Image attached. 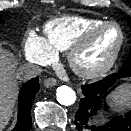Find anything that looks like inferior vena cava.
Wrapping results in <instances>:
<instances>
[{
    "mask_svg": "<svg viewBox=\"0 0 131 131\" xmlns=\"http://www.w3.org/2000/svg\"><path fill=\"white\" fill-rule=\"evenodd\" d=\"M42 71V68L35 64H25L21 66L16 74L17 78L23 81L30 80L38 76Z\"/></svg>",
    "mask_w": 131,
    "mask_h": 131,
    "instance_id": "1",
    "label": "inferior vena cava"
}]
</instances>
